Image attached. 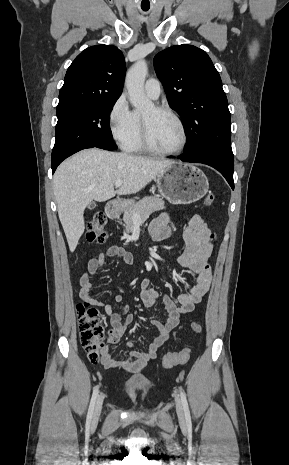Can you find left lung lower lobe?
Returning <instances> with one entry per match:
<instances>
[{"label":"left lung lower lobe","mask_w":289,"mask_h":465,"mask_svg":"<svg viewBox=\"0 0 289 465\" xmlns=\"http://www.w3.org/2000/svg\"><path fill=\"white\" fill-rule=\"evenodd\" d=\"M173 157V156H171ZM184 162H195L207 164L217 169L228 181L231 188L234 189L233 172L234 159L233 154L216 149L198 150L181 154L177 157Z\"/></svg>","instance_id":"left-lung-lower-lobe-1"}]
</instances>
